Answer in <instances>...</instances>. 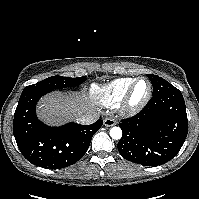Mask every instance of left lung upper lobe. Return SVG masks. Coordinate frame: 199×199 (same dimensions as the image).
I'll use <instances>...</instances> for the list:
<instances>
[{
    "label": "left lung upper lobe",
    "mask_w": 199,
    "mask_h": 199,
    "mask_svg": "<svg viewBox=\"0 0 199 199\" xmlns=\"http://www.w3.org/2000/svg\"><path fill=\"white\" fill-rule=\"evenodd\" d=\"M153 85V96L177 90L172 84L158 75L147 74Z\"/></svg>",
    "instance_id": "1"
}]
</instances>
